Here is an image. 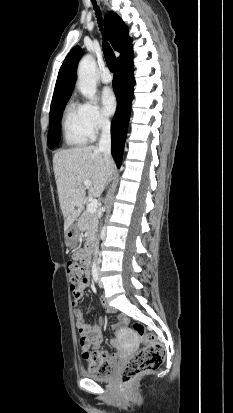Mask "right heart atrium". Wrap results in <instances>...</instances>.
Wrapping results in <instances>:
<instances>
[{
	"mask_svg": "<svg viewBox=\"0 0 233 413\" xmlns=\"http://www.w3.org/2000/svg\"><path fill=\"white\" fill-rule=\"evenodd\" d=\"M82 109L87 128L93 137L109 127L110 121L107 115L97 104L85 103Z\"/></svg>",
	"mask_w": 233,
	"mask_h": 413,
	"instance_id": "obj_1",
	"label": "right heart atrium"
}]
</instances>
